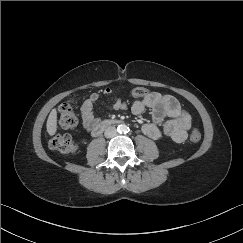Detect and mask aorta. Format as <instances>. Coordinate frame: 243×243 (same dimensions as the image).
Instances as JSON below:
<instances>
[{"label": "aorta", "mask_w": 243, "mask_h": 243, "mask_svg": "<svg viewBox=\"0 0 243 243\" xmlns=\"http://www.w3.org/2000/svg\"><path fill=\"white\" fill-rule=\"evenodd\" d=\"M128 126L127 125H125V124H121V125H119L118 127H117V131L119 132V133H126V132H128Z\"/></svg>", "instance_id": "1"}]
</instances>
